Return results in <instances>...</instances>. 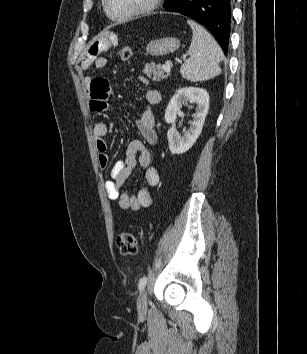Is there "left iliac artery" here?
Listing matches in <instances>:
<instances>
[{"label":"left iliac artery","instance_id":"obj_1","mask_svg":"<svg viewBox=\"0 0 307 354\" xmlns=\"http://www.w3.org/2000/svg\"><path fill=\"white\" fill-rule=\"evenodd\" d=\"M146 283H147V277H146V276H143V277L139 280V283H138V288H139L140 291L145 288Z\"/></svg>","mask_w":307,"mask_h":354}]
</instances>
